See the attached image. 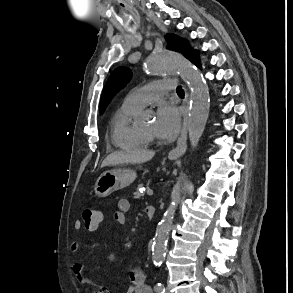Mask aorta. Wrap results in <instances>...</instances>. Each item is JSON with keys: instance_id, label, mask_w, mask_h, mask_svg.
I'll list each match as a JSON object with an SVG mask.
<instances>
[{"instance_id": "aorta-1", "label": "aorta", "mask_w": 293, "mask_h": 293, "mask_svg": "<svg viewBox=\"0 0 293 293\" xmlns=\"http://www.w3.org/2000/svg\"><path fill=\"white\" fill-rule=\"evenodd\" d=\"M145 67L151 75L178 73L187 83L191 91L188 121L189 139L191 145L195 147L204 132L209 115L210 99L207 84L191 63L175 51L162 50L152 53L147 58ZM180 197L181 192L173 196L171 204L157 226L152 246V260L155 265H160L164 259L168 234Z\"/></svg>"}]
</instances>
